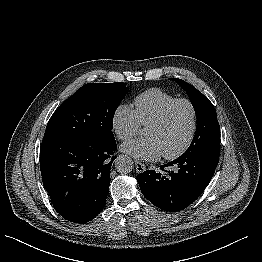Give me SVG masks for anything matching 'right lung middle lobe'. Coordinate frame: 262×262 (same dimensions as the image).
<instances>
[{
  "label": "right lung middle lobe",
  "mask_w": 262,
  "mask_h": 262,
  "mask_svg": "<svg viewBox=\"0 0 262 262\" xmlns=\"http://www.w3.org/2000/svg\"><path fill=\"white\" fill-rule=\"evenodd\" d=\"M126 92V84L121 82L82 86L53 113L43 140L113 139V117Z\"/></svg>",
  "instance_id": "right-lung-middle-lobe-1"
}]
</instances>
